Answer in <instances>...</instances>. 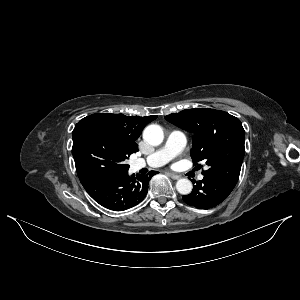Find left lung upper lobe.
Wrapping results in <instances>:
<instances>
[{"mask_svg": "<svg viewBox=\"0 0 300 300\" xmlns=\"http://www.w3.org/2000/svg\"><path fill=\"white\" fill-rule=\"evenodd\" d=\"M165 119L194 134L191 157L194 163H206L204 176L236 185L245 153V132L238 118L220 110L196 108L172 113Z\"/></svg>", "mask_w": 300, "mask_h": 300, "instance_id": "1", "label": "left lung upper lobe"}]
</instances>
